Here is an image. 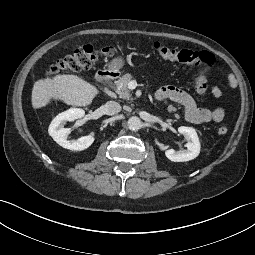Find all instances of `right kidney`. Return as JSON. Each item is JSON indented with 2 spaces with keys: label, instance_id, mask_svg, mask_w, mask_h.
I'll use <instances>...</instances> for the list:
<instances>
[{
  "label": "right kidney",
  "instance_id": "right-kidney-1",
  "mask_svg": "<svg viewBox=\"0 0 255 255\" xmlns=\"http://www.w3.org/2000/svg\"><path fill=\"white\" fill-rule=\"evenodd\" d=\"M84 115L85 111L79 108H71L58 114L49 126V135L63 148L73 151H82L87 149L94 142L95 138L92 134L81 137L77 140H67V136L71 132V129L64 128L66 122L82 119Z\"/></svg>",
  "mask_w": 255,
  "mask_h": 255
}]
</instances>
